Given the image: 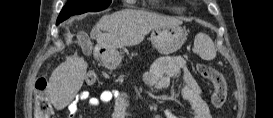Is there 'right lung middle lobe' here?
Listing matches in <instances>:
<instances>
[{
    "label": "right lung middle lobe",
    "instance_id": "obj_1",
    "mask_svg": "<svg viewBox=\"0 0 273 118\" xmlns=\"http://www.w3.org/2000/svg\"><path fill=\"white\" fill-rule=\"evenodd\" d=\"M112 0H69L63 7L58 18L67 19L72 15L85 12H98L106 9Z\"/></svg>",
    "mask_w": 273,
    "mask_h": 118
}]
</instances>
